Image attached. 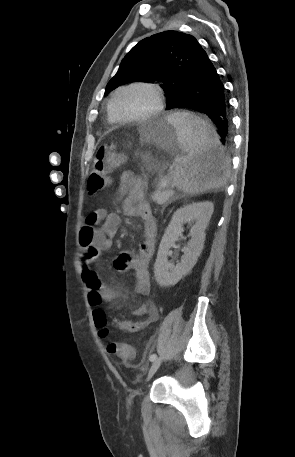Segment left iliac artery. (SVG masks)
<instances>
[{"label": "left iliac artery", "instance_id": "obj_1", "mask_svg": "<svg viewBox=\"0 0 295 457\" xmlns=\"http://www.w3.org/2000/svg\"><path fill=\"white\" fill-rule=\"evenodd\" d=\"M156 358H157V355H156V354H152V355H150L149 360L152 362V361H154Z\"/></svg>", "mask_w": 295, "mask_h": 457}]
</instances>
